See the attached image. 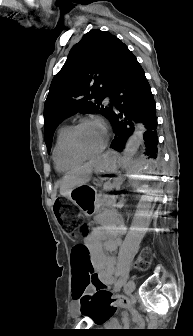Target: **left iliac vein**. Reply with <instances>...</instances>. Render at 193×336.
<instances>
[{"instance_id":"4c4485c4","label":"left iliac vein","mask_w":193,"mask_h":336,"mask_svg":"<svg viewBox=\"0 0 193 336\" xmlns=\"http://www.w3.org/2000/svg\"><path fill=\"white\" fill-rule=\"evenodd\" d=\"M135 290V282L133 280H129L124 286V292L126 294H131Z\"/></svg>"}]
</instances>
